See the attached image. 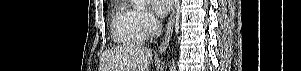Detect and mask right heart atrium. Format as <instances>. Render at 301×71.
<instances>
[{
    "instance_id": "1",
    "label": "right heart atrium",
    "mask_w": 301,
    "mask_h": 71,
    "mask_svg": "<svg viewBox=\"0 0 301 71\" xmlns=\"http://www.w3.org/2000/svg\"><path fill=\"white\" fill-rule=\"evenodd\" d=\"M139 22L147 36L154 35L159 28V21L156 16L149 10L139 11Z\"/></svg>"
}]
</instances>
